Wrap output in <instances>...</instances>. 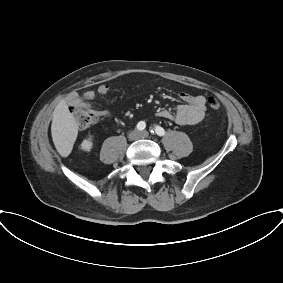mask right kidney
I'll list each match as a JSON object with an SVG mask.
<instances>
[{
  "label": "right kidney",
  "instance_id": "right-kidney-1",
  "mask_svg": "<svg viewBox=\"0 0 283 283\" xmlns=\"http://www.w3.org/2000/svg\"><path fill=\"white\" fill-rule=\"evenodd\" d=\"M92 146V136H90L88 139L83 140V142L81 143V149L84 151H90L92 149Z\"/></svg>",
  "mask_w": 283,
  "mask_h": 283
}]
</instances>
